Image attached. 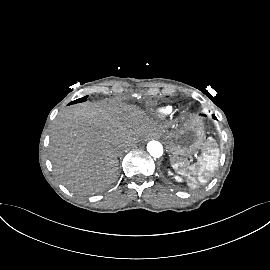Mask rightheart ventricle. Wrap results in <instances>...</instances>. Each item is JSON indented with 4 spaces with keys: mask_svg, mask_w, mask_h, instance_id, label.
Instances as JSON below:
<instances>
[{
    "mask_svg": "<svg viewBox=\"0 0 270 270\" xmlns=\"http://www.w3.org/2000/svg\"><path fill=\"white\" fill-rule=\"evenodd\" d=\"M171 110H172L171 107L166 106V107H162V108L158 109L157 113L159 116H166V115L170 114Z\"/></svg>",
    "mask_w": 270,
    "mask_h": 270,
    "instance_id": "e07e8e85",
    "label": "right heart ventricle"
}]
</instances>
